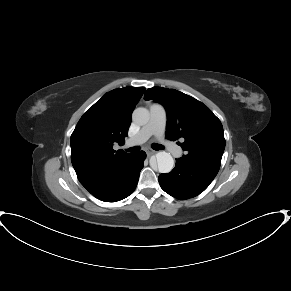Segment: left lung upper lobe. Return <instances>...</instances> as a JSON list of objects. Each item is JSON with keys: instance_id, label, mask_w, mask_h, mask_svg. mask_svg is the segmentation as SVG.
<instances>
[{"instance_id": "1", "label": "left lung upper lobe", "mask_w": 291, "mask_h": 291, "mask_svg": "<svg viewBox=\"0 0 291 291\" xmlns=\"http://www.w3.org/2000/svg\"><path fill=\"white\" fill-rule=\"evenodd\" d=\"M145 100L161 103L167 112L166 138L183 140L182 158L220 168L225 149L223 126L202 102L174 89L149 88Z\"/></svg>"}]
</instances>
